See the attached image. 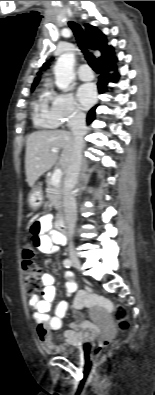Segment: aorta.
<instances>
[{
  "label": "aorta",
  "instance_id": "obj_1",
  "mask_svg": "<svg viewBox=\"0 0 155 395\" xmlns=\"http://www.w3.org/2000/svg\"><path fill=\"white\" fill-rule=\"evenodd\" d=\"M75 63L74 55L71 53L62 54L54 66L55 84L62 90H67L74 79L73 67Z\"/></svg>",
  "mask_w": 155,
  "mask_h": 395
}]
</instances>
